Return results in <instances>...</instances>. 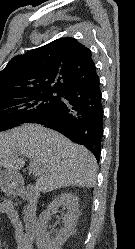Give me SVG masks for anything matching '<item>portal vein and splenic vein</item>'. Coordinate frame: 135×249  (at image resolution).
Listing matches in <instances>:
<instances>
[{
    "instance_id": "18ae733b",
    "label": "portal vein and splenic vein",
    "mask_w": 135,
    "mask_h": 249,
    "mask_svg": "<svg viewBox=\"0 0 135 249\" xmlns=\"http://www.w3.org/2000/svg\"><path fill=\"white\" fill-rule=\"evenodd\" d=\"M37 170H38V163L35 162V161L31 162V163H30V171H31L33 174H34V173L36 174Z\"/></svg>"
}]
</instances>
